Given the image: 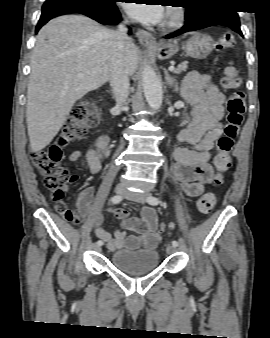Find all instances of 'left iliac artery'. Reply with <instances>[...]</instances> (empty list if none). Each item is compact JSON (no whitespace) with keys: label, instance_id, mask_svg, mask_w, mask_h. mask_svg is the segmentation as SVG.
I'll return each mask as SVG.
<instances>
[{"label":"left iliac artery","instance_id":"1","mask_svg":"<svg viewBox=\"0 0 270 338\" xmlns=\"http://www.w3.org/2000/svg\"><path fill=\"white\" fill-rule=\"evenodd\" d=\"M147 202L151 205H158L160 203V200L158 198L154 197V196H149L148 199H147ZM172 245L174 247H177L178 242L176 240H173Z\"/></svg>","mask_w":270,"mask_h":338}]
</instances>
